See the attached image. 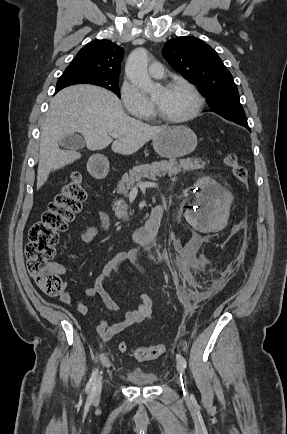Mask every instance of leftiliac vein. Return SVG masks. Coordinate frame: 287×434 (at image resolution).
<instances>
[{"mask_svg":"<svg viewBox=\"0 0 287 434\" xmlns=\"http://www.w3.org/2000/svg\"><path fill=\"white\" fill-rule=\"evenodd\" d=\"M180 374H181L182 385H184L185 384V374H184V370L182 368H180Z\"/></svg>","mask_w":287,"mask_h":434,"instance_id":"1","label":"left iliac vein"}]
</instances>
